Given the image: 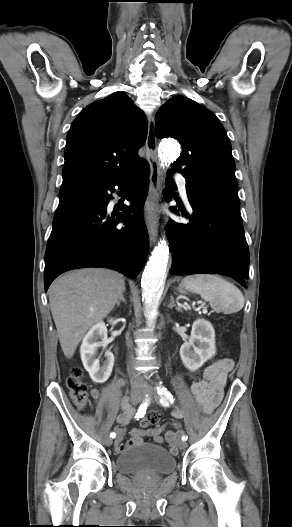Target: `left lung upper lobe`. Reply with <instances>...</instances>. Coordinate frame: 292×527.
<instances>
[{
    "label": "left lung upper lobe",
    "mask_w": 292,
    "mask_h": 527,
    "mask_svg": "<svg viewBox=\"0 0 292 527\" xmlns=\"http://www.w3.org/2000/svg\"><path fill=\"white\" fill-rule=\"evenodd\" d=\"M156 136L176 138L183 153L169 171H180L186 190L238 198L231 143L218 118L197 102L171 97L156 114Z\"/></svg>",
    "instance_id": "1"
}]
</instances>
